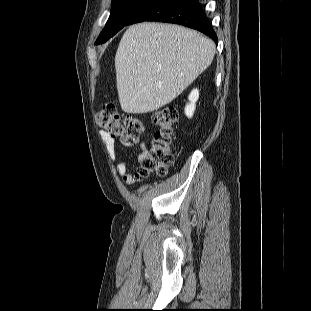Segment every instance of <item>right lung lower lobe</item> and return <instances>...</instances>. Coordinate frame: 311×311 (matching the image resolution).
Listing matches in <instances>:
<instances>
[{
	"mask_svg": "<svg viewBox=\"0 0 311 311\" xmlns=\"http://www.w3.org/2000/svg\"><path fill=\"white\" fill-rule=\"evenodd\" d=\"M143 21L183 25L204 33L215 43L218 41L198 0H155L134 15L127 25Z\"/></svg>",
	"mask_w": 311,
	"mask_h": 311,
	"instance_id": "98d812e1",
	"label": "right lung lower lobe"
}]
</instances>
